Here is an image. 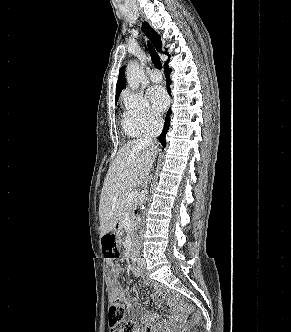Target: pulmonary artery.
Here are the masks:
<instances>
[{
  "label": "pulmonary artery",
  "mask_w": 291,
  "mask_h": 332,
  "mask_svg": "<svg viewBox=\"0 0 291 332\" xmlns=\"http://www.w3.org/2000/svg\"><path fill=\"white\" fill-rule=\"evenodd\" d=\"M150 79L152 82L159 83L162 80V76L158 70H153L150 73Z\"/></svg>",
  "instance_id": "obj_1"
}]
</instances>
